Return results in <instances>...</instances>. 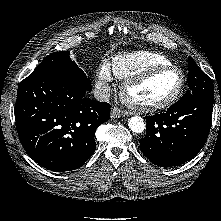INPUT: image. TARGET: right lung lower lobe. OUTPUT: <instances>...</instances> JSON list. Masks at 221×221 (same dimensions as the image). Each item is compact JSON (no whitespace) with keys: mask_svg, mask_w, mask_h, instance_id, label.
<instances>
[{"mask_svg":"<svg viewBox=\"0 0 221 221\" xmlns=\"http://www.w3.org/2000/svg\"><path fill=\"white\" fill-rule=\"evenodd\" d=\"M91 85L63 75L23 80L15 121L28 155L55 172L80 168L96 148L94 133L109 120L110 105L87 97Z\"/></svg>","mask_w":221,"mask_h":221,"instance_id":"1","label":"right lung lower lobe"}]
</instances>
